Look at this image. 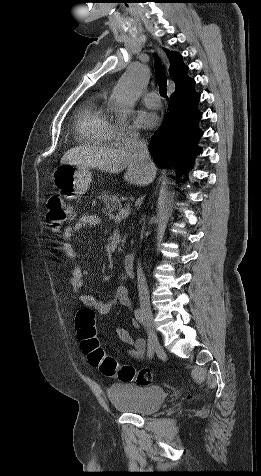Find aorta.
<instances>
[{"label":"aorta","instance_id":"1","mask_svg":"<svg viewBox=\"0 0 261 476\" xmlns=\"http://www.w3.org/2000/svg\"><path fill=\"white\" fill-rule=\"evenodd\" d=\"M146 75L141 67H131L122 76L112 94V108L118 120H124L134 111V103L140 94Z\"/></svg>","mask_w":261,"mask_h":476}]
</instances>
